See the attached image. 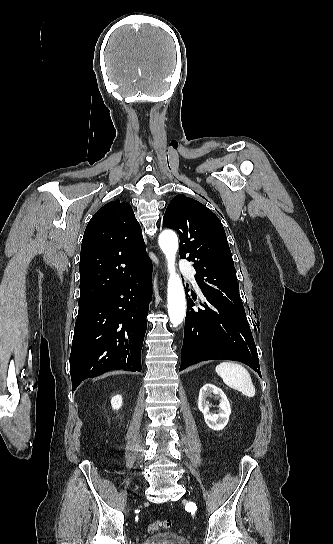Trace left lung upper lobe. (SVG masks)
I'll return each instance as SVG.
<instances>
[{
  "mask_svg": "<svg viewBox=\"0 0 333 544\" xmlns=\"http://www.w3.org/2000/svg\"><path fill=\"white\" fill-rule=\"evenodd\" d=\"M163 225L179 234L180 257L194 262L195 278L202 293L246 316L231 251L219 218L202 203L179 194L169 203Z\"/></svg>",
  "mask_w": 333,
  "mask_h": 544,
  "instance_id": "obj_1",
  "label": "left lung upper lobe"
}]
</instances>
